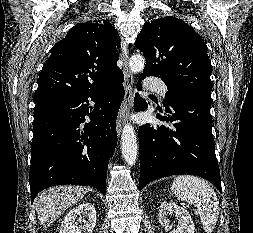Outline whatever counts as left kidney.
Returning <instances> with one entry per match:
<instances>
[{
    "mask_svg": "<svg viewBox=\"0 0 253 233\" xmlns=\"http://www.w3.org/2000/svg\"><path fill=\"white\" fill-rule=\"evenodd\" d=\"M175 214L178 219L179 225L177 228L171 230L170 233H195L193 220L187 210L178 206L174 202H163L159 210V223L162 226H168L170 220L168 215Z\"/></svg>",
    "mask_w": 253,
    "mask_h": 233,
    "instance_id": "1",
    "label": "left kidney"
}]
</instances>
